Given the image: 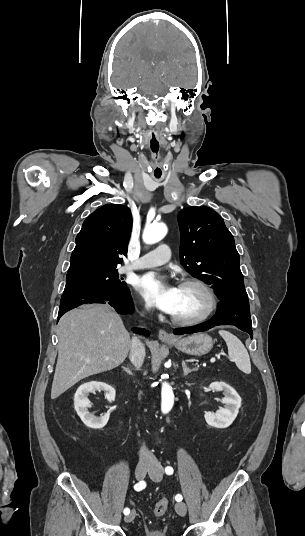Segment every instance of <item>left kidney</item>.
<instances>
[{"instance_id":"left-kidney-1","label":"left kidney","mask_w":305,"mask_h":536,"mask_svg":"<svg viewBox=\"0 0 305 536\" xmlns=\"http://www.w3.org/2000/svg\"><path fill=\"white\" fill-rule=\"evenodd\" d=\"M209 388H212L215 392H223L225 398H222L220 402L226 404V406L220 408L217 414L205 412V420L208 426H213V428H228L234 422L239 412L241 398L235 392L234 388H231L225 382H213Z\"/></svg>"}]
</instances>
